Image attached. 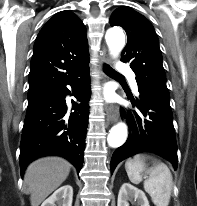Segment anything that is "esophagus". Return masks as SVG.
Listing matches in <instances>:
<instances>
[{"label": "esophagus", "mask_w": 197, "mask_h": 206, "mask_svg": "<svg viewBox=\"0 0 197 206\" xmlns=\"http://www.w3.org/2000/svg\"><path fill=\"white\" fill-rule=\"evenodd\" d=\"M110 58L107 49L104 47L102 50V57L100 59L99 67L100 70H103V66L105 63H109ZM106 115L108 122L115 123L118 120V113L115 109H106Z\"/></svg>", "instance_id": "obj_1"}]
</instances>
